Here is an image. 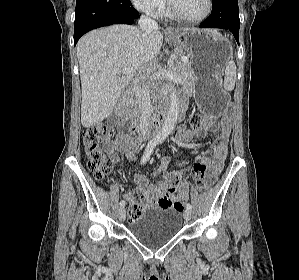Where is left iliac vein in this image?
Segmentation results:
<instances>
[{"mask_svg": "<svg viewBox=\"0 0 299 280\" xmlns=\"http://www.w3.org/2000/svg\"><path fill=\"white\" fill-rule=\"evenodd\" d=\"M184 218H185L186 220H189V219L191 218V210H190V209H186V210L184 211Z\"/></svg>", "mask_w": 299, "mask_h": 280, "instance_id": "obj_1", "label": "left iliac vein"}]
</instances>
